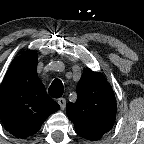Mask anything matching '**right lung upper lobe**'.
Returning a JSON list of instances; mask_svg holds the SVG:
<instances>
[{
	"label": "right lung upper lobe",
	"instance_id": "cb5924a9",
	"mask_svg": "<svg viewBox=\"0 0 144 144\" xmlns=\"http://www.w3.org/2000/svg\"><path fill=\"white\" fill-rule=\"evenodd\" d=\"M60 106L37 75V53L27 50L11 63L0 87V119L15 137L35 134Z\"/></svg>",
	"mask_w": 144,
	"mask_h": 144
}]
</instances>
